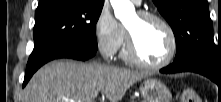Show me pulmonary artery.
Masks as SVG:
<instances>
[{"instance_id":"pulmonary-artery-1","label":"pulmonary artery","mask_w":221,"mask_h":102,"mask_svg":"<svg viewBox=\"0 0 221 102\" xmlns=\"http://www.w3.org/2000/svg\"><path fill=\"white\" fill-rule=\"evenodd\" d=\"M132 2H134V3L137 4V5H140V4H141V0H132Z\"/></svg>"}]
</instances>
